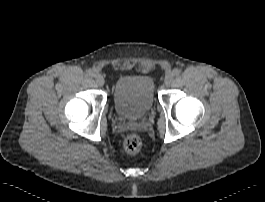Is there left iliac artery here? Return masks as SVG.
<instances>
[{
    "label": "left iliac artery",
    "instance_id": "left-iliac-artery-1",
    "mask_svg": "<svg viewBox=\"0 0 265 202\" xmlns=\"http://www.w3.org/2000/svg\"><path fill=\"white\" fill-rule=\"evenodd\" d=\"M180 73H181V70L180 69H178V68L173 69V74L175 76H178Z\"/></svg>",
    "mask_w": 265,
    "mask_h": 202
}]
</instances>
